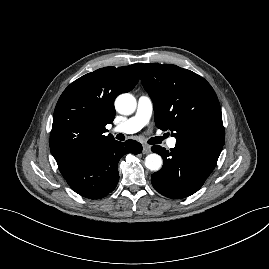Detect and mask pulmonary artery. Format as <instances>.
Wrapping results in <instances>:
<instances>
[{"mask_svg": "<svg viewBox=\"0 0 269 269\" xmlns=\"http://www.w3.org/2000/svg\"><path fill=\"white\" fill-rule=\"evenodd\" d=\"M153 112V102L148 95H141L138 98L137 109L135 114L119 124L113 129V132L124 133V134H132L140 129H142L145 125L148 124L151 115ZM167 146L169 148H174L176 146V138L171 137L167 140Z\"/></svg>", "mask_w": 269, "mask_h": 269, "instance_id": "e3ab8cb5", "label": "pulmonary artery"}]
</instances>
